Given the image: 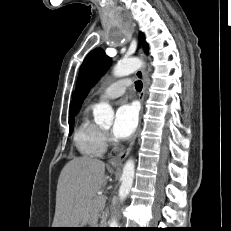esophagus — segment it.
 I'll list each match as a JSON object with an SVG mask.
<instances>
[{
    "mask_svg": "<svg viewBox=\"0 0 231 231\" xmlns=\"http://www.w3.org/2000/svg\"><path fill=\"white\" fill-rule=\"evenodd\" d=\"M138 53H139L141 58L144 57V53H143L142 48H139ZM135 74H136L137 78H139L143 83L142 90H141V92L139 94V100H140V103H141L139 124H138L137 130H136V133L133 136V138L131 139L128 147L109 160V164L111 166H113V167L119 166L127 158V156L129 155V153L132 150V147H133V145L135 143L136 137H137V135H138V133L140 131V128H141V119H142V115H143L144 100H145V94H146V89H147L146 73H145V70L142 68V69L137 70Z\"/></svg>",
    "mask_w": 231,
    "mask_h": 231,
    "instance_id": "obj_1",
    "label": "esophagus"
}]
</instances>
